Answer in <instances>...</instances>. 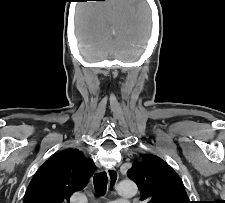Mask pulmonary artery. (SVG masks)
<instances>
[{"label": "pulmonary artery", "instance_id": "obj_1", "mask_svg": "<svg viewBox=\"0 0 225 203\" xmlns=\"http://www.w3.org/2000/svg\"><path fill=\"white\" fill-rule=\"evenodd\" d=\"M109 203H129L128 201H112V202H109Z\"/></svg>", "mask_w": 225, "mask_h": 203}]
</instances>
